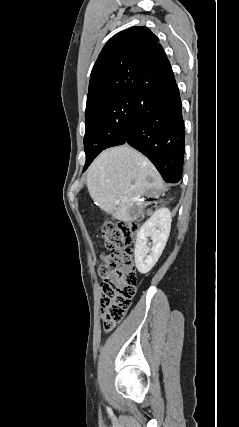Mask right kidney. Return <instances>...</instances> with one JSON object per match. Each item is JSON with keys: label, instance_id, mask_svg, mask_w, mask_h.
<instances>
[{"label": "right kidney", "instance_id": "obj_1", "mask_svg": "<svg viewBox=\"0 0 239 427\" xmlns=\"http://www.w3.org/2000/svg\"><path fill=\"white\" fill-rule=\"evenodd\" d=\"M171 212L158 209L140 228L135 244V265L142 274L148 273L161 256L171 229ZM151 238L152 243H149Z\"/></svg>", "mask_w": 239, "mask_h": 427}]
</instances>
